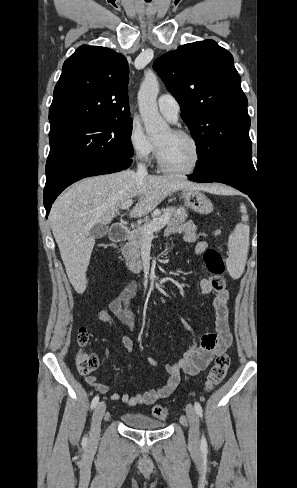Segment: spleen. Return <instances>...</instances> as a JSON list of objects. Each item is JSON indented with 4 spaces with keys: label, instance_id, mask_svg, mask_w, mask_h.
I'll list each match as a JSON object with an SVG mask.
<instances>
[{
    "label": "spleen",
    "instance_id": "1",
    "mask_svg": "<svg viewBox=\"0 0 297 488\" xmlns=\"http://www.w3.org/2000/svg\"><path fill=\"white\" fill-rule=\"evenodd\" d=\"M240 208L243 213L242 222H246V207L242 204ZM228 248L227 269L233 279H238L244 271L249 249V227L247 224L239 223L236 225L229 236Z\"/></svg>",
    "mask_w": 297,
    "mask_h": 488
}]
</instances>
